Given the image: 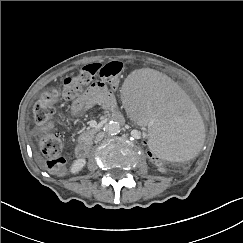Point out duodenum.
<instances>
[{"mask_svg":"<svg viewBox=\"0 0 243 243\" xmlns=\"http://www.w3.org/2000/svg\"><path fill=\"white\" fill-rule=\"evenodd\" d=\"M113 119L118 122L124 121V118L119 114L113 115ZM75 151L78 157H85L88 152V145L86 143H79L77 144Z\"/></svg>","mask_w":243,"mask_h":243,"instance_id":"410a0bca","label":"duodenum"}]
</instances>
